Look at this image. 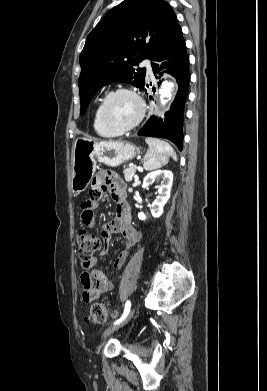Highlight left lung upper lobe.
<instances>
[{
	"instance_id": "left-lung-upper-lobe-1",
	"label": "left lung upper lobe",
	"mask_w": 267,
	"mask_h": 391,
	"mask_svg": "<svg viewBox=\"0 0 267 391\" xmlns=\"http://www.w3.org/2000/svg\"><path fill=\"white\" fill-rule=\"evenodd\" d=\"M179 26L164 0H124L115 6L88 35L80 54L81 115L103 85L120 81L141 88L146 69L135 68L150 59Z\"/></svg>"
}]
</instances>
